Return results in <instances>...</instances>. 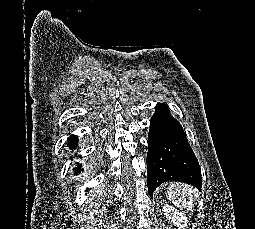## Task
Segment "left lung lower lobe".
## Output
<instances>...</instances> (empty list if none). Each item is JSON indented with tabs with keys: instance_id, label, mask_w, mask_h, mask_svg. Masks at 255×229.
I'll return each mask as SVG.
<instances>
[{
	"instance_id": "1",
	"label": "left lung lower lobe",
	"mask_w": 255,
	"mask_h": 229,
	"mask_svg": "<svg viewBox=\"0 0 255 229\" xmlns=\"http://www.w3.org/2000/svg\"><path fill=\"white\" fill-rule=\"evenodd\" d=\"M147 185L152 197L158 186L180 181L201 189V170L181 124L164 104H157L150 120Z\"/></svg>"
}]
</instances>
